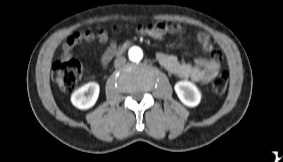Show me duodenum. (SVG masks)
<instances>
[{
  "label": "duodenum",
  "mask_w": 283,
  "mask_h": 162,
  "mask_svg": "<svg viewBox=\"0 0 283 162\" xmlns=\"http://www.w3.org/2000/svg\"><path fill=\"white\" fill-rule=\"evenodd\" d=\"M126 46H121L117 50L114 51V54H120L125 50Z\"/></svg>",
  "instance_id": "obj_1"
}]
</instances>
